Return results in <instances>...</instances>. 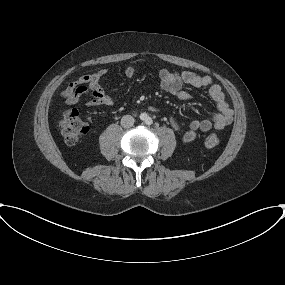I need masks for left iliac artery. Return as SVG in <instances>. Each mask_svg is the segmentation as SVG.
Returning <instances> with one entry per match:
<instances>
[{"mask_svg":"<svg viewBox=\"0 0 285 285\" xmlns=\"http://www.w3.org/2000/svg\"><path fill=\"white\" fill-rule=\"evenodd\" d=\"M152 123V120L149 118L147 119V124H151Z\"/></svg>","mask_w":285,"mask_h":285,"instance_id":"44dca946","label":"left iliac artery"}]
</instances>
